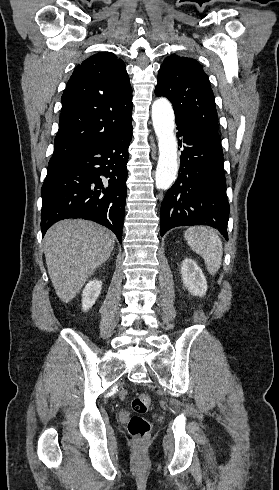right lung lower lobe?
Returning <instances> with one entry per match:
<instances>
[{
    "mask_svg": "<svg viewBox=\"0 0 279 490\" xmlns=\"http://www.w3.org/2000/svg\"><path fill=\"white\" fill-rule=\"evenodd\" d=\"M132 126L102 143L53 163L41 189V231L67 218L95 221L122 242ZM104 176L105 178H102Z\"/></svg>",
    "mask_w": 279,
    "mask_h": 490,
    "instance_id": "1",
    "label": "right lung lower lobe"
}]
</instances>
